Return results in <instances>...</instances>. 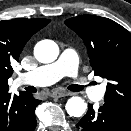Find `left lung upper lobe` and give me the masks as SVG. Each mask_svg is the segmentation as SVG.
<instances>
[{"label": "left lung upper lobe", "instance_id": "obj_1", "mask_svg": "<svg viewBox=\"0 0 131 131\" xmlns=\"http://www.w3.org/2000/svg\"><path fill=\"white\" fill-rule=\"evenodd\" d=\"M65 24L84 41L94 74L108 80L105 104L131 117V34L94 15L73 17Z\"/></svg>", "mask_w": 131, "mask_h": 131}]
</instances>
